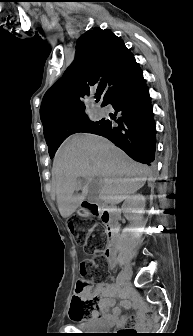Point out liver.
<instances>
[{
	"label": "liver",
	"instance_id": "1",
	"mask_svg": "<svg viewBox=\"0 0 193 336\" xmlns=\"http://www.w3.org/2000/svg\"><path fill=\"white\" fill-rule=\"evenodd\" d=\"M52 172L58 209L67 218L86 200L89 184L96 176L102 178L98 183L99 199L118 204L144 186L150 169L132 160L106 138L78 134L60 147ZM80 189L82 193L75 195Z\"/></svg>",
	"mask_w": 193,
	"mask_h": 336
}]
</instances>
